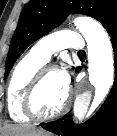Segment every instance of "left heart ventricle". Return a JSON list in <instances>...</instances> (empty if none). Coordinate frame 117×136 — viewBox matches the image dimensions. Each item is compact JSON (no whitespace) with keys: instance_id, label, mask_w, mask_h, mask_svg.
I'll return each mask as SVG.
<instances>
[{"instance_id":"1","label":"left heart ventricle","mask_w":117,"mask_h":136,"mask_svg":"<svg viewBox=\"0 0 117 136\" xmlns=\"http://www.w3.org/2000/svg\"><path fill=\"white\" fill-rule=\"evenodd\" d=\"M67 90L61 83L59 72L52 71L43 80L35 96V107L39 114L49 115L63 104Z\"/></svg>"}]
</instances>
